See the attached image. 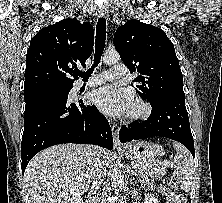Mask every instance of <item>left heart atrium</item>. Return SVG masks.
Listing matches in <instances>:
<instances>
[{"label": "left heart atrium", "instance_id": "39dd6f15", "mask_svg": "<svg viewBox=\"0 0 222 203\" xmlns=\"http://www.w3.org/2000/svg\"><path fill=\"white\" fill-rule=\"evenodd\" d=\"M92 102L104 113L119 116L131 108V95L128 91L114 85H106L95 90Z\"/></svg>", "mask_w": 222, "mask_h": 203}]
</instances>
